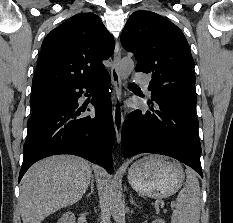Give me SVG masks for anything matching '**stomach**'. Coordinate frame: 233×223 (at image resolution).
<instances>
[{
	"label": "stomach",
	"mask_w": 233,
	"mask_h": 223,
	"mask_svg": "<svg viewBox=\"0 0 233 223\" xmlns=\"http://www.w3.org/2000/svg\"><path fill=\"white\" fill-rule=\"evenodd\" d=\"M184 171L181 163L165 155H145L131 163L128 181L133 189L146 197H169L183 185Z\"/></svg>",
	"instance_id": "stomach-1"
}]
</instances>
